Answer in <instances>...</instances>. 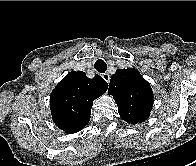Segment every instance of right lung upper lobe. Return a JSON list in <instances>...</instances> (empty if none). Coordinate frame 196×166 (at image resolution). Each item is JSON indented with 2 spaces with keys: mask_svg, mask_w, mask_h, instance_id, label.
<instances>
[{
  "mask_svg": "<svg viewBox=\"0 0 196 166\" xmlns=\"http://www.w3.org/2000/svg\"><path fill=\"white\" fill-rule=\"evenodd\" d=\"M107 89L108 84L101 76L89 79L85 72L71 71L50 95L54 123L69 134L80 131L90 120L93 101Z\"/></svg>",
  "mask_w": 196,
  "mask_h": 166,
  "instance_id": "1",
  "label": "right lung upper lobe"
}]
</instances>
